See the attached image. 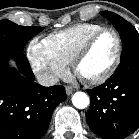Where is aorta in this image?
Instances as JSON below:
<instances>
[{"instance_id":"762f6f07","label":"aorta","mask_w":139,"mask_h":139,"mask_svg":"<svg viewBox=\"0 0 139 139\" xmlns=\"http://www.w3.org/2000/svg\"><path fill=\"white\" fill-rule=\"evenodd\" d=\"M72 103L78 109H84L89 106L90 98L84 92H76L72 96Z\"/></svg>"}]
</instances>
